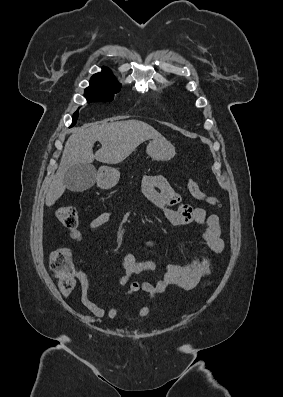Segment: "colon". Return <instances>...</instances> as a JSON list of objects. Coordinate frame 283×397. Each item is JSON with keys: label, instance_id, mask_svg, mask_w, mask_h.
<instances>
[{"label": "colon", "instance_id": "colon-1", "mask_svg": "<svg viewBox=\"0 0 283 397\" xmlns=\"http://www.w3.org/2000/svg\"><path fill=\"white\" fill-rule=\"evenodd\" d=\"M188 191L197 200L217 205L218 201L204 194L198 183L190 178L187 183ZM57 220L68 228L78 224V211L73 206H61L56 211ZM49 265L58 279V286L63 295L70 294L76 286L74 277L73 253L67 247H60L49 252Z\"/></svg>", "mask_w": 283, "mask_h": 397}]
</instances>
